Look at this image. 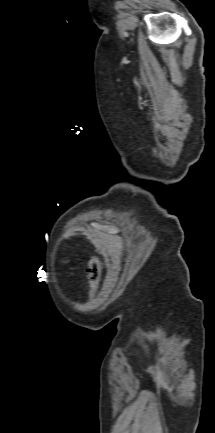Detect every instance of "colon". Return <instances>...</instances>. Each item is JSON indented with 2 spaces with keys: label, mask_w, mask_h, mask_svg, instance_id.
Wrapping results in <instances>:
<instances>
[{
  "label": "colon",
  "mask_w": 215,
  "mask_h": 433,
  "mask_svg": "<svg viewBox=\"0 0 215 433\" xmlns=\"http://www.w3.org/2000/svg\"><path fill=\"white\" fill-rule=\"evenodd\" d=\"M99 270L100 264L99 260L95 257L91 258L87 266V278H88V295L90 297L94 296L99 281Z\"/></svg>",
  "instance_id": "1"
}]
</instances>
